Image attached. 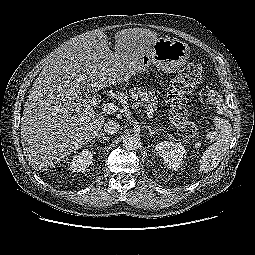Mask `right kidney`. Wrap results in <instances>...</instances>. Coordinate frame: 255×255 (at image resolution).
<instances>
[{"instance_id": "obj_1", "label": "right kidney", "mask_w": 255, "mask_h": 255, "mask_svg": "<svg viewBox=\"0 0 255 255\" xmlns=\"http://www.w3.org/2000/svg\"><path fill=\"white\" fill-rule=\"evenodd\" d=\"M92 153L85 149L72 156L69 170L72 173L84 171L92 163Z\"/></svg>"}]
</instances>
